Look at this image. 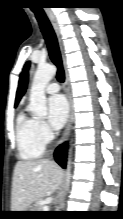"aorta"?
Segmentation results:
<instances>
[{
    "instance_id": "obj_1",
    "label": "aorta",
    "mask_w": 123,
    "mask_h": 219,
    "mask_svg": "<svg viewBox=\"0 0 123 219\" xmlns=\"http://www.w3.org/2000/svg\"><path fill=\"white\" fill-rule=\"evenodd\" d=\"M57 68L54 65H39L31 85L29 110L35 117H44L47 114L45 87L54 77ZM71 162L68 160L66 171L67 188L71 178Z\"/></svg>"
}]
</instances>
